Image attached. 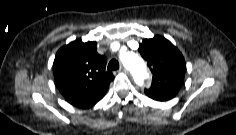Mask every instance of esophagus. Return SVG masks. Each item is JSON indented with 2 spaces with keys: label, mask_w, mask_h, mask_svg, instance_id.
<instances>
[{
  "label": "esophagus",
  "mask_w": 236,
  "mask_h": 135,
  "mask_svg": "<svg viewBox=\"0 0 236 135\" xmlns=\"http://www.w3.org/2000/svg\"><path fill=\"white\" fill-rule=\"evenodd\" d=\"M120 70L124 73H128V70L124 66H121Z\"/></svg>",
  "instance_id": "obj_1"
}]
</instances>
